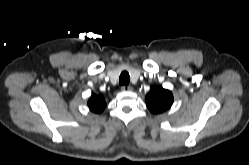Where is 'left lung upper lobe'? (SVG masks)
I'll return each mask as SVG.
<instances>
[{
    "label": "left lung upper lobe",
    "mask_w": 249,
    "mask_h": 165,
    "mask_svg": "<svg viewBox=\"0 0 249 165\" xmlns=\"http://www.w3.org/2000/svg\"><path fill=\"white\" fill-rule=\"evenodd\" d=\"M172 103V92L162 87H153L146 95V105L154 114L166 111L171 107Z\"/></svg>",
    "instance_id": "obj_1"
}]
</instances>
